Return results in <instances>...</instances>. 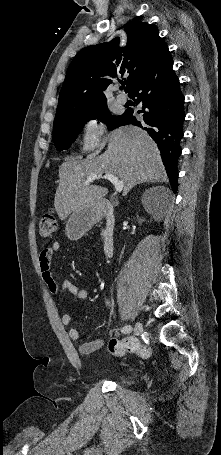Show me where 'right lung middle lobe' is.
<instances>
[{
  "label": "right lung middle lobe",
  "instance_id": "dd1d6c3e",
  "mask_svg": "<svg viewBox=\"0 0 221 455\" xmlns=\"http://www.w3.org/2000/svg\"><path fill=\"white\" fill-rule=\"evenodd\" d=\"M106 102L96 105L86 111L64 117L54 122L53 141L56 149L62 151L68 149L72 142L77 138V135L83 129L84 124L91 119H99L106 121L110 129L118 127L122 116H111L108 114Z\"/></svg>",
  "mask_w": 221,
  "mask_h": 455
}]
</instances>
